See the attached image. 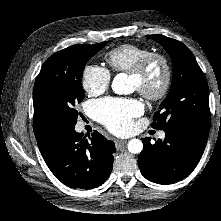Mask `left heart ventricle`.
<instances>
[{
    "instance_id": "left-heart-ventricle-1",
    "label": "left heart ventricle",
    "mask_w": 221,
    "mask_h": 221,
    "mask_svg": "<svg viewBox=\"0 0 221 221\" xmlns=\"http://www.w3.org/2000/svg\"><path fill=\"white\" fill-rule=\"evenodd\" d=\"M162 79V67L160 64L154 65L151 70L145 76L143 83L150 89H155L158 87ZM131 84L134 88L138 86V80L130 77Z\"/></svg>"
}]
</instances>
